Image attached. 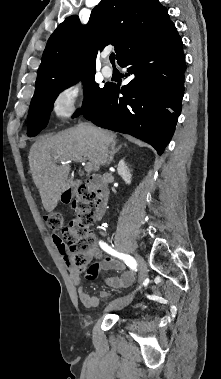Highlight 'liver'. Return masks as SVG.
<instances>
[{"mask_svg": "<svg viewBox=\"0 0 221 379\" xmlns=\"http://www.w3.org/2000/svg\"><path fill=\"white\" fill-rule=\"evenodd\" d=\"M94 128V127H93ZM97 129V128H95ZM101 136L85 128L74 127L54 136L35 142L29 151V165L33 181L40 192L42 204L47 212H52L62 195L73 183L69 176V164L57 165V160L79 158L88 160L92 169L100 168V152L103 144H116V134L97 129Z\"/></svg>", "mask_w": 221, "mask_h": 379, "instance_id": "6515ba94", "label": "liver"}]
</instances>
